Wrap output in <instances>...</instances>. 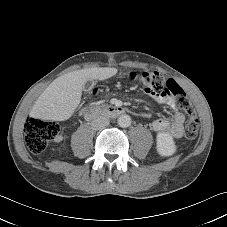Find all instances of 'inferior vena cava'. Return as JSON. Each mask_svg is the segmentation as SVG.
<instances>
[{"mask_svg":"<svg viewBox=\"0 0 227 227\" xmlns=\"http://www.w3.org/2000/svg\"><path fill=\"white\" fill-rule=\"evenodd\" d=\"M109 125V119L104 116H99L91 122V127L94 130H99Z\"/></svg>","mask_w":227,"mask_h":227,"instance_id":"602c4592","label":"inferior vena cava"}]
</instances>
